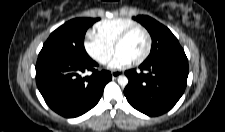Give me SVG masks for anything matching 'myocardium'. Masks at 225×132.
<instances>
[{
  "mask_svg": "<svg viewBox=\"0 0 225 132\" xmlns=\"http://www.w3.org/2000/svg\"><path fill=\"white\" fill-rule=\"evenodd\" d=\"M142 31L144 33V35L146 36L147 39V46H146V50L145 52L136 60L131 61L132 64L134 65H138L143 63L148 56L151 53V49H152V37L151 34L149 33V31L141 26V25H134L131 26L129 28H127L126 30H124L116 39L115 43H114V49L115 51H117L118 47L135 31Z\"/></svg>",
  "mask_w": 225,
  "mask_h": 132,
  "instance_id": "1",
  "label": "myocardium"
}]
</instances>
